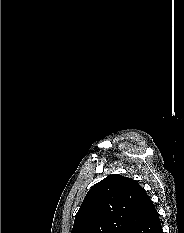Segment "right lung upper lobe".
<instances>
[{
    "label": "right lung upper lobe",
    "instance_id": "right-lung-upper-lobe-1",
    "mask_svg": "<svg viewBox=\"0 0 184 233\" xmlns=\"http://www.w3.org/2000/svg\"><path fill=\"white\" fill-rule=\"evenodd\" d=\"M154 210L150 197L136 181L109 175L88 191L71 233H130Z\"/></svg>",
    "mask_w": 184,
    "mask_h": 233
}]
</instances>
